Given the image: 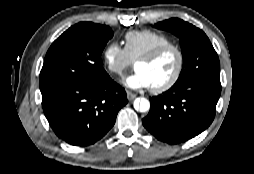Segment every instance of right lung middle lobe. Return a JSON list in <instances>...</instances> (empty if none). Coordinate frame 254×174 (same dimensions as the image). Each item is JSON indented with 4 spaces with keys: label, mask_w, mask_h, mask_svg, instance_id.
<instances>
[{
    "label": "right lung middle lobe",
    "mask_w": 254,
    "mask_h": 174,
    "mask_svg": "<svg viewBox=\"0 0 254 174\" xmlns=\"http://www.w3.org/2000/svg\"><path fill=\"white\" fill-rule=\"evenodd\" d=\"M110 27L80 22L50 46L40 72L41 93L62 85L97 82L108 76L101 53L112 38Z\"/></svg>",
    "instance_id": "1"
}]
</instances>
